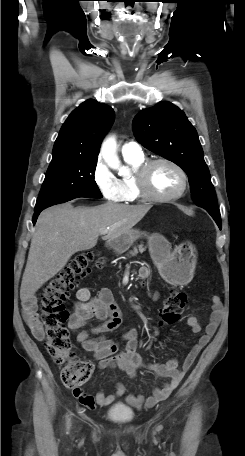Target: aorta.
<instances>
[{
  "label": "aorta",
  "instance_id": "obj_1",
  "mask_svg": "<svg viewBox=\"0 0 245 456\" xmlns=\"http://www.w3.org/2000/svg\"><path fill=\"white\" fill-rule=\"evenodd\" d=\"M101 152L105 162L110 168L118 170L119 174L125 173V167L121 165L116 153V140L114 137H109L103 142Z\"/></svg>",
  "mask_w": 245,
  "mask_h": 456
}]
</instances>
